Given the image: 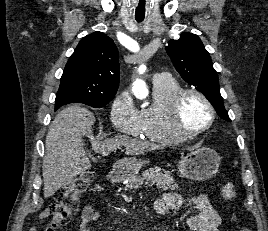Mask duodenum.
I'll list each match as a JSON object with an SVG mask.
<instances>
[{"label": "duodenum", "instance_id": "obj_1", "mask_svg": "<svg viewBox=\"0 0 268 231\" xmlns=\"http://www.w3.org/2000/svg\"><path fill=\"white\" fill-rule=\"evenodd\" d=\"M120 178V174L118 170L114 169L108 174V180L109 182H116Z\"/></svg>", "mask_w": 268, "mask_h": 231}]
</instances>
